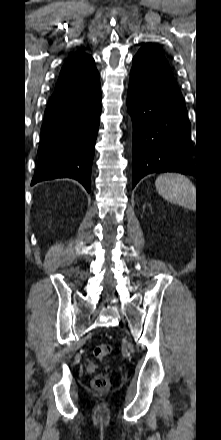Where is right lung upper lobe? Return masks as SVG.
<instances>
[{
  "label": "right lung upper lobe",
  "mask_w": 221,
  "mask_h": 440,
  "mask_svg": "<svg viewBox=\"0 0 221 440\" xmlns=\"http://www.w3.org/2000/svg\"><path fill=\"white\" fill-rule=\"evenodd\" d=\"M99 79L93 58L84 53L73 54L63 65L55 90L88 85Z\"/></svg>",
  "instance_id": "obj_1"
}]
</instances>
